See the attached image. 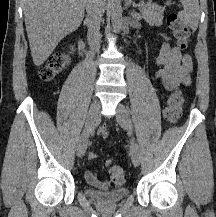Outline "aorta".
Instances as JSON below:
<instances>
[{
    "mask_svg": "<svg viewBox=\"0 0 216 217\" xmlns=\"http://www.w3.org/2000/svg\"><path fill=\"white\" fill-rule=\"evenodd\" d=\"M122 7H121V0H111L110 6V15H111V22L115 32H120L122 28Z\"/></svg>",
    "mask_w": 216,
    "mask_h": 217,
    "instance_id": "aorta-1",
    "label": "aorta"
}]
</instances>
